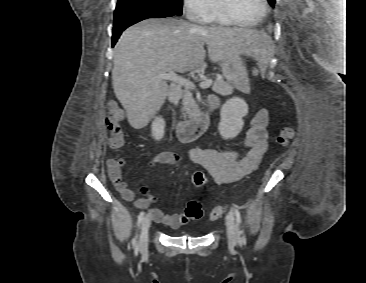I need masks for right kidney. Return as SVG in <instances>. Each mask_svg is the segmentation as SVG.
I'll return each instance as SVG.
<instances>
[{
    "instance_id": "right-kidney-1",
    "label": "right kidney",
    "mask_w": 366,
    "mask_h": 283,
    "mask_svg": "<svg viewBox=\"0 0 366 283\" xmlns=\"http://www.w3.org/2000/svg\"><path fill=\"white\" fill-rule=\"evenodd\" d=\"M165 121L161 117H156L152 122V135L155 140H161L164 136Z\"/></svg>"
}]
</instances>
